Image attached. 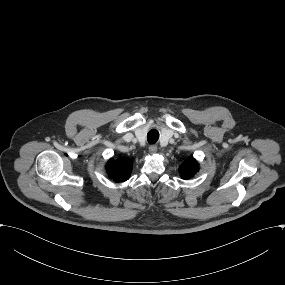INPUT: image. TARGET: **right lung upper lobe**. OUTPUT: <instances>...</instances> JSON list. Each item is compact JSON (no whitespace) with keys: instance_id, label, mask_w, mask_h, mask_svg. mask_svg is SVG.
Wrapping results in <instances>:
<instances>
[{"instance_id":"cb5924a9","label":"right lung upper lobe","mask_w":285,"mask_h":285,"mask_svg":"<svg viewBox=\"0 0 285 285\" xmlns=\"http://www.w3.org/2000/svg\"><path fill=\"white\" fill-rule=\"evenodd\" d=\"M106 170L115 182H123L129 179L132 171V160L129 158L110 159L106 164Z\"/></svg>"}]
</instances>
